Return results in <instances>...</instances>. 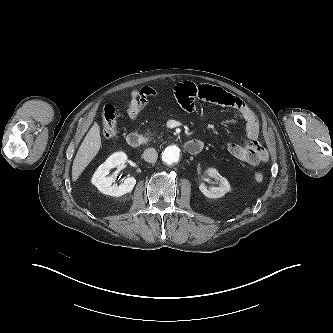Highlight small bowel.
I'll return each mask as SVG.
<instances>
[{
  "label": "small bowel",
  "instance_id": "1",
  "mask_svg": "<svg viewBox=\"0 0 333 333\" xmlns=\"http://www.w3.org/2000/svg\"><path fill=\"white\" fill-rule=\"evenodd\" d=\"M174 92L179 103L188 111H192L195 108L196 100L235 109L245 122L246 142L244 144L230 143L227 146L228 152L234 158L252 166H257L268 160L266 149L258 142V117L243 100L220 87L196 84L190 81H183L177 84ZM157 94V91L151 87L133 90L127 102L126 112L129 118L135 120L148 105L149 98L156 97Z\"/></svg>",
  "mask_w": 333,
  "mask_h": 333
}]
</instances>
